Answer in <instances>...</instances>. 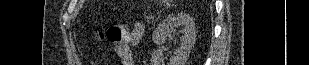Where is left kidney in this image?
Returning a JSON list of instances; mask_svg holds the SVG:
<instances>
[{"label":"left kidney","instance_id":"1","mask_svg":"<svg viewBox=\"0 0 309 65\" xmlns=\"http://www.w3.org/2000/svg\"><path fill=\"white\" fill-rule=\"evenodd\" d=\"M183 28V35L180 37V46L170 57L167 65H185L189 53L195 43V22L186 14L179 13L164 19L155 29L152 39L157 45H162L167 37L174 34L176 28ZM164 57L160 50H154L151 57V65H165Z\"/></svg>","mask_w":309,"mask_h":65}]
</instances>
